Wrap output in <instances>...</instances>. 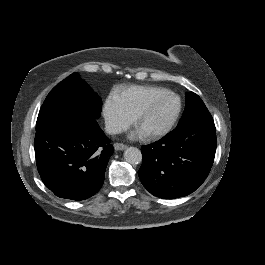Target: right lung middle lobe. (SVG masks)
Wrapping results in <instances>:
<instances>
[{
  "mask_svg": "<svg viewBox=\"0 0 265 265\" xmlns=\"http://www.w3.org/2000/svg\"><path fill=\"white\" fill-rule=\"evenodd\" d=\"M101 108L102 101L98 94L78 73H73L50 91L39 111L36 127L57 112L97 119Z\"/></svg>",
  "mask_w": 265,
  "mask_h": 265,
  "instance_id": "dd1d6c3e",
  "label": "right lung middle lobe"
}]
</instances>
